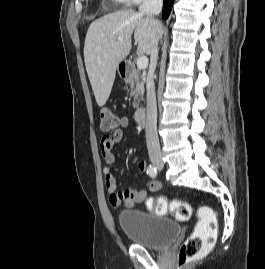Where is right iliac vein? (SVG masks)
Returning <instances> with one entry per match:
<instances>
[{"label":"right iliac vein","mask_w":265,"mask_h":269,"mask_svg":"<svg viewBox=\"0 0 265 269\" xmlns=\"http://www.w3.org/2000/svg\"><path fill=\"white\" fill-rule=\"evenodd\" d=\"M154 166L157 168H161L163 166V163L160 160L153 161Z\"/></svg>","instance_id":"63e3f726"}]
</instances>
